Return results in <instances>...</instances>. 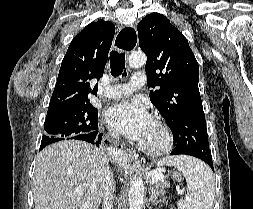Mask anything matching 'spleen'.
I'll return each mask as SVG.
<instances>
[{
  "mask_svg": "<svg viewBox=\"0 0 253 209\" xmlns=\"http://www.w3.org/2000/svg\"><path fill=\"white\" fill-rule=\"evenodd\" d=\"M173 166L183 173L187 182V195L179 200L178 209H212L214 180L212 171L201 160L189 156L167 157L158 166Z\"/></svg>",
  "mask_w": 253,
  "mask_h": 209,
  "instance_id": "obj_1",
  "label": "spleen"
}]
</instances>
